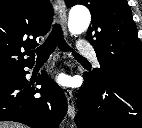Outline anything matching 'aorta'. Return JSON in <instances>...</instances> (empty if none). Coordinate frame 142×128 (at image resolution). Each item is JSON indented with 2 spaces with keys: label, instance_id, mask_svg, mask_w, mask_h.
<instances>
[{
  "label": "aorta",
  "instance_id": "762f6f07",
  "mask_svg": "<svg viewBox=\"0 0 142 128\" xmlns=\"http://www.w3.org/2000/svg\"><path fill=\"white\" fill-rule=\"evenodd\" d=\"M91 22V15L84 7L73 8L69 13L68 28L72 34L86 31Z\"/></svg>",
  "mask_w": 142,
  "mask_h": 128
}]
</instances>
